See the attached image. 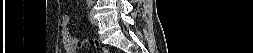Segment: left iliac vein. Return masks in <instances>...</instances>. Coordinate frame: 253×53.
Wrapping results in <instances>:
<instances>
[{"label":"left iliac vein","instance_id":"4c4485c4","mask_svg":"<svg viewBox=\"0 0 253 53\" xmlns=\"http://www.w3.org/2000/svg\"><path fill=\"white\" fill-rule=\"evenodd\" d=\"M89 18L93 25H98V20L94 17V12L92 10L90 11Z\"/></svg>","mask_w":253,"mask_h":53}]
</instances>
